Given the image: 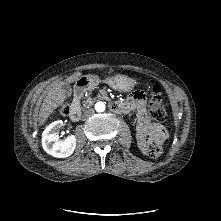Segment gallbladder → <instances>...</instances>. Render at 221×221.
<instances>
[{
    "mask_svg": "<svg viewBox=\"0 0 221 221\" xmlns=\"http://www.w3.org/2000/svg\"><path fill=\"white\" fill-rule=\"evenodd\" d=\"M62 89L68 96L72 94V88L68 83H64Z\"/></svg>",
    "mask_w": 221,
    "mask_h": 221,
    "instance_id": "1",
    "label": "gallbladder"
}]
</instances>
